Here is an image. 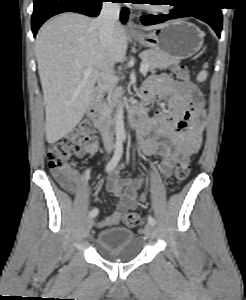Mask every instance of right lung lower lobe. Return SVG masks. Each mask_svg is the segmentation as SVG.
Masks as SVG:
<instances>
[{
	"mask_svg": "<svg viewBox=\"0 0 246 300\" xmlns=\"http://www.w3.org/2000/svg\"><path fill=\"white\" fill-rule=\"evenodd\" d=\"M104 0H34V11L32 14L31 25L33 35L40 26L50 17L62 12H77L87 16L96 17L100 13L101 5ZM128 10H121L120 18L123 23L128 19Z\"/></svg>",
	"mask_w": 246,
	"mask_h": 300,
	"instance_id": "obj_1",
	"label": "right lung lower lobe"
}]
</instances>
